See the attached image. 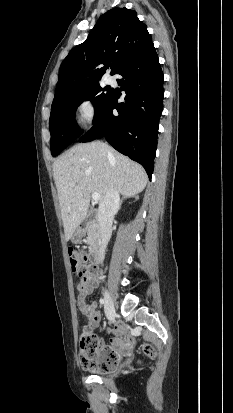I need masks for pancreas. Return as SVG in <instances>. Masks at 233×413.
<instances>
[{
  "label": "pancreas",
  "instance_id": "1",
  "mask_svg": "<svg viewBox=\"0 0 233 413\" xmlns=\"http://www.w3.org/2000/svg\"><path fill=\"white\" fill-rule=\"evenodd\" d=\"M87 242L90 246H94L99 239V229L94 223L88 225Z\"/></svg>",
  "mask_w": 233,
  "mask_h": 413
}]
</instances>
